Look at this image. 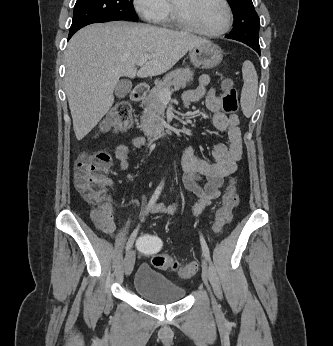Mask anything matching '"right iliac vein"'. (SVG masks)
<instances>
[{"label": "right iliac vein", "instance_id": "obj_1", "mask_svg": "<svg viewBox=\"0 0 333 346\" xmlns=\"http://www.w3.org/2000/svg\"><path fill=\"white\" fill-rule=\"evenodd\" d=\"M135 264V252L130 250L124 259V272L128 276L131 274Z\"/></svg>", "mask_w": 333, "mask_h": 346}]
</instances>
